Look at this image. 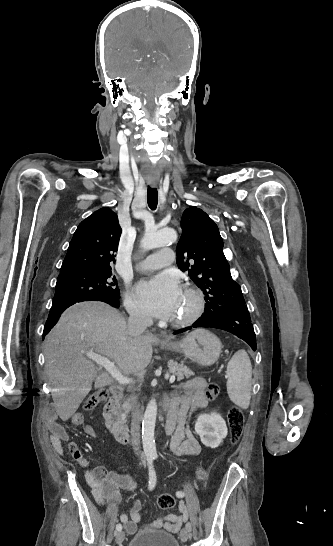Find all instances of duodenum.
Returning a JSON list of instances; mask_svg holds the SVG:
<instances>
[{
    "label": "duodenum",
    "instance_id": "410a0bca",
    "mask_svg": "<svg viewBox=\"0 0 333 546\" xmlns=\"http://www.w3.org/2000/svg\"><path fill=\"white\" fill-rule=\"evenodd\" d=\"M121 394V386L115 385L110 388V397L104 409V416L109 433L116 441L126 444L131 442V436L130 429L119 409Z\"/></svg>",
    "mask_w": 333,
    "mask_h": 546
}]
</instances>
